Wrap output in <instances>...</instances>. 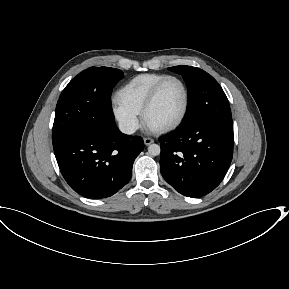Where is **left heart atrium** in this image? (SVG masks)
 Here are the masks:
<instances>
[{"mask_svg":"<svg viewBox=\"0 0 289 289\" xmlns=\"http://www.w3.org/2000/svg\"><path fill=\"white\" fill-rule=\"evenodd\" d=\"M147 128H148L149 130H151V131H155V130H156V128H154V127H152V126H150V125H148V124H147Z\"/></svg>","mask_w":289,"mask_h":289,"instance_id":"obj_1","label":"left heart atrium"}]
</instances>
